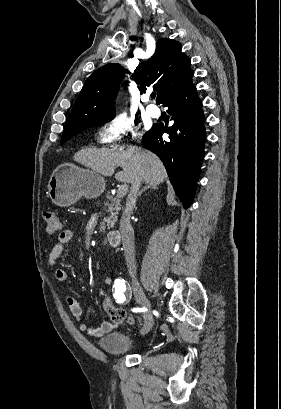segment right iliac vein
Masks as SVG:
<instances>
[{
	"mask_svg": "<svg viewBox=\"0 0 281 409\" xmlns=\"http://www.w3.org/2000/svg\"><path fill=\"white\" fill-rule=\"evenodd\" d=\"M132 287H133V292H134V296H135L137 303L143 308L149 310L151 308V303L146 297L140 284L138 282H133ZM144 318H145V322L141 330V334H146L147 332H149L154 323L153 316L150 312H146L144 315Z\"/></svg>",
	"mask_w": 281,
	"mask_h": 409,
	"instance_id": "1",
	"label": "right iliac vein"
}]
</instances>
